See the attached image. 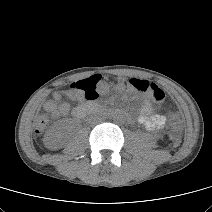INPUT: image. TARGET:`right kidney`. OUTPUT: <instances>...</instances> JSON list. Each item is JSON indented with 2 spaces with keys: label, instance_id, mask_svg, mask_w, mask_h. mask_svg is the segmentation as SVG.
I'll return each instance as SVG.
<instances>
[{
  "label": "right kidney",
  "instance_id": "ca27d5eb",
  "mask_svg": "<svg viewBox=\"0 0 212 212\" xmlns=\"http://www.w3.org/2000/svg\"><path fill=\"white\" fill-rule=\"evenodd\" d=\"M49 135L52 137L53 136V133H50Z\"/></svg>",
  "mask_w": 212,
  "mask_h": 212
}]
</instances>
